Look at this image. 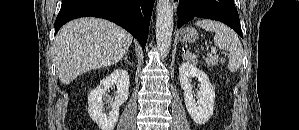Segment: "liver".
I'll return each instance as SVG.
<instances>
[{"label": "liver", "instance_id": "6515ba94", "mask_svg": "<svg viewBox=\"0 0 299 130\" xmlns=\"http://www.w3.org/2000/svg\"><path fill=\"white\" fill-rule=\"evenodd\" d=\"M132 40L130 33L107 20L80 18L67 23L53 44L61 83L67 85L87 71L116 64Z\"/></svg>", "mask_w": 299, "mask_h": 130}]
</instances>
